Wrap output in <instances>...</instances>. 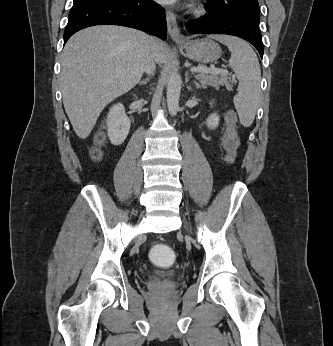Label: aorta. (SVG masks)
Masks as SVG:
<instances>
[{
	"instance_id": "1",
	"label": "aorta",
	"mask_w": 333,
	"mask_h": 346,
	"mask_svg": "<svg viewBox=\"0 0 333 346\" xmlns=\"http://www.w3.org/2000/svg\"><path fill=\"white\" fill-rule=\"evenodd\" d=\"M180 91V76L177 73H172L167 83V106L172 116H175L179 110Z\"/></svg>"
}]
</instances>
